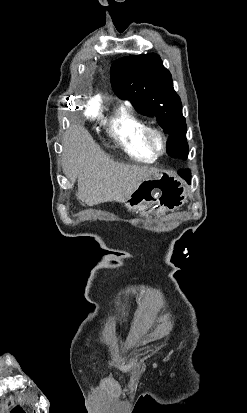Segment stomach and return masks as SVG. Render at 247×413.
Wrapping results in <instances>:
<instances>
[{
  "label": "stomach",
  "mask_w": 247,
  "mask_h": 413,
  "mask_svg": "<svg viewBox=\"0 0 247 413\" xmlns=\"http://www.w3.org/2000/svg\"><path fill=\"white\" fill-rule=\"evenodd\" d=\"M188 188L185 180L175 172H158L150 178L142 180L132 194L124 202V207L132 213H147L162 215L164 211L180 209L185 204Z\"/></svg>",
  "instance_id": "1"
}]
</instances>
